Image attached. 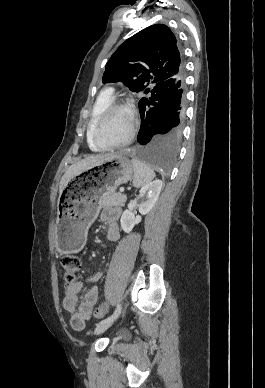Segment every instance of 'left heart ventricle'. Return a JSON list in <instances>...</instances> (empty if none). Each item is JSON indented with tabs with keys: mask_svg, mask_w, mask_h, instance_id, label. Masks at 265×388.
Returning a JSON list of instances; mask_svg holds the SVG:
<instances>
[{
	"mask_svg": "<svg viewBox=\"0 0 265 388\" xmlns=\"http://www.w3.org/2000/svg\"><path fill=\"white\" fill-rule=\"evenodd\" d=\"M130 127V116L121 110L110 111L99 126V137L106 143H115L121 140Z\"/></svg>",
	"mask_w": 265,
	"mask_h": 388,
	"instance_id": "1",
	"label": "left heart ventricle"
}]
</instances>
